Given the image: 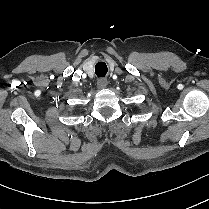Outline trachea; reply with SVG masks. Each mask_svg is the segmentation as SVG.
<instances>
[{"instance_id": "obj_1", "label": "trachea", "mask_w": 209, "mask_h": 209, "mask_svg": "<svg viewBox=\"0 0 209 209\" xmlns=\"http://www.w3.org/2000/svg\"><path fill=\"white\" fill-rule=\"evenodd\" d=\"M108 69L104 62H98L95 66V73L98 77H105Z\"/></svg>"}]
</instances>
